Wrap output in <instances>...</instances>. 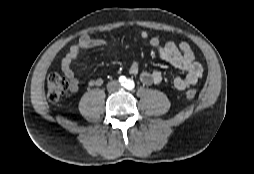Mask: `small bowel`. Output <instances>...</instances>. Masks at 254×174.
I'll list each match as a JSON object with an SVG mask.
<instances>
[{"instance_id": "small-bowel-1", "label": "small bowel", "mask_w": 254, "mask_h": 174, "mask_svg": "<svg viewBox=\"0 0 254 174\" xmlns=\"http://www.w3.org/2000/svg\"><path fill=\"white\" fill-rule=\"evenodd\" d=\"M139 37L142 40H148L149 44L157 51L161 59L186 74L185 77H176L173 79L172 84L176 90L181 91L193 86L202 78L204 69L202 65L196 61L188 43L181 42L176 44L174 42H167L161 45L159 39L155 36L149 37L146 30H141L139 32ZM101 46H108V42L104 39L94 38L85 34L79 37L77 42L70 47L69 52L63 58L61 69L69 79L70 90L72 92L77 91L79 88V82L72 66L78 60L81 51ZM139 70V64L135 61L132 62L129 67V72L132 75H137L139 74ZM81 73H83V71H81ZM140 80L145 85L158 84L162 82L163 74L159 70L142 71L140 73ZM102 84L103 79L101 77L93 78L88 82V85L91 87H98Z\"/></svg>"}]
</instances>
